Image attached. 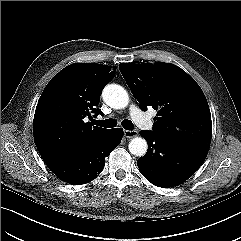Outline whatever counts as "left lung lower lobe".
I'll list each match as a JSON object with an SVG mask.
<instances>
[{"instance_id": "obj_1", "label": "left lung lower lobe", "mask_w": 241, "mask_h": 241, "mask_svg": "<svg viewBox=\"0 0 241 241\" xmlns=\"http://www.w3.org/2000/svg\"><path fill=\"white\" fill-rule=\"evenodd\" d=\"M148 150L137 161L139 171L158 187L182 184L202 165L208 151L165 140L151 131H141Z\"/></svg>"}]
</instances>
